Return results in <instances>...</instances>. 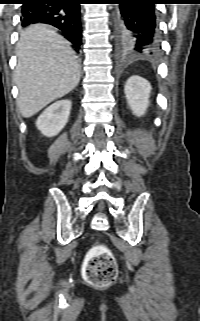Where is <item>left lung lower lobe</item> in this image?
I'll return each instance as SVG.
<instances>
[{
    "mask_svg": "<svg viewBox=\"0 0 200 321\" xmlns=\"http://www.w3.org/2000/svg\"><path fill=\"white\" fill-rule=\"evenodd\" d=\"M161 0H115V31L121 54L159 49L155 4Z\"/></svg>",
    "mask_w": 200,
    "mask_h": 321,
    "instance_id": "obj_1",
    "label": "left lung lower lobe"
}]
</instances>
